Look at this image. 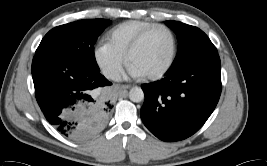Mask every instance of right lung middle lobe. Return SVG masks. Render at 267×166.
Returning a JSON list of instances; mask_svg holds the SVG:
<instances>
[{
    "mask_svg": "<svg viewBox=\"0 0 267 166\" xmlns=\"http://www.w3.org/2000/svg\"><path fill=\"white\" fill-rule=\"evenodd\" d=\"M110 20H80L50 30L41 41L36 53L51 51L99 71L94 56V43Z\"/></svg>",
    "mask_w": 267,
    "mask_h": 166,
    "instance_id": "dd1d6c3e",
    "label": "right lung middle lobe"
}]
</instances>
